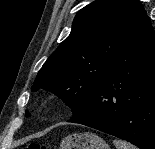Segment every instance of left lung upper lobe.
Masks as SVG:
<instances>
[{"label": "left lung upper lobe", "mask_w": 155, "mask_h": 149, "mask_svg": "<svg viewBox=\"0 0 155 149\" xmlns=\"http://www.w3.org/2000/svg\"><path fill=\"white\" fill-rule=\"evenodd\" d=\"M145 14L138 0L87 5L76 14L70 35L43 64L31 90L53 92L77 114Z\"/></svg>", "instance_id": "obj_1"}]
</instances>
